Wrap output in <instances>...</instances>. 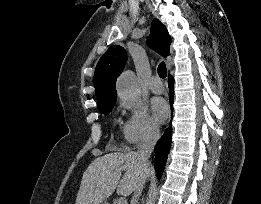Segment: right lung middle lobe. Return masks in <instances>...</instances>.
Returning <instances> with one entry per match:
<instances>
[{"label": "right lung middle lobe", "mask_w": 261, "mask_h": 204, "mask_svg": "<svg viewBox=\"0 0 261 204\" xmlns=\"http://www.w3.org/2000/svg\"><path fill=\"white\" fill-rule=\"evenodd\" d=\"M115 105V101L98 105L101 114H108Z\"/></svg>", "instance_id": "right-lung-middle-lobe-1"}]
</instances>
